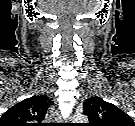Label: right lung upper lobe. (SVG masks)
<instances>
[{"label": "right lung upper lobe", "mask_w": 135, "mask_h": 126, "mask_svg": "<svg viewBox=\"0 0 135 126\" xmlns=\"http://www.w3.org/2000/svg\"><path fill=\"white\" fill-rule=\"evenodd\" d=\"M51 104L46 95L24 99L1 116L0 126H40Z\"/></svg>", "instance_id": "1"}]
</instances>
